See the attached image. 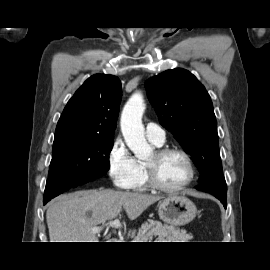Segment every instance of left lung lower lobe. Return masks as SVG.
Segmentation results:
<instances>
[{"instance_id":"0a47b994","label":"left lung lower lobe","mask_w":270,"mask_h":270,"mask_svg":"<svg viewBox=\"0 0 270 270\" xmlns=\"http://www.w3.org/2000/svg\"><path fill=\"white\" fill-rule=\"evenodd\" d=\"M196 189L214 195L222 202L225 208L227 207V185L223 174H218L214 177L209 178L206 181L201 182V184L197 186Z\"/></svg>"}]
</instances>
